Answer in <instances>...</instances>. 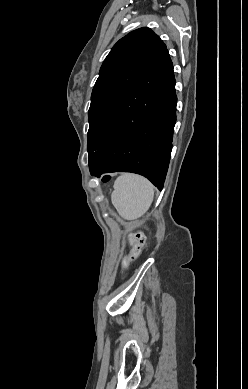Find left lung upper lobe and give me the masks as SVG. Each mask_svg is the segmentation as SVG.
<instances>
[{
    "mask_svg": "<svg viewBox=\"0 0 248 389\" xmlns=\"http://www.w3.org/2000/svg\"><path fill=\"white\" fill-rule=\"evenodd\" d=\"M167 50L162 40L149 28L128 33L111 49L104 60L91 95L88 111V154L103 147L107 139L96 133L95 121L126 92Z\"/></svg>",
    "mask_w": 248,
    "mask_h": 389,
    "instance_id": "1",
    "label": "left lung upper lobe"
}]
</instances>
